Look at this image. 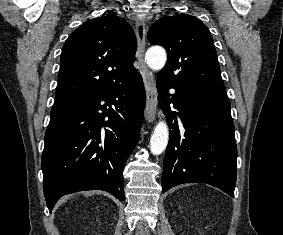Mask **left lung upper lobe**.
Instances as JSON below:
<instances>
[{
    "instance_id": "5c2ea615",
    "label": "left lung upper lobe",
    "mask_w": 283,
    "mask_h": 235,
    "mask_svg": "<svg viewBox=\"0 0 283 235\" xmlns=\"http://www.w3.org/2000/svg\"><path fill=\"white\" fill-rule=\"evenodd\" d=\"M148 40L167 51L158 75L202 94L227 97L213 38L199 19L187 14L162 17L150 27Z\"/></svg>"
}]
</instances>
